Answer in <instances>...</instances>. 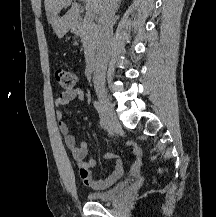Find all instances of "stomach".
Wrapping results in <instances>:
<instances>
[{
	"label": "stomach",
	"instance_id": "stomach-1",
	"mask_svg": "<svg viewBox=\"0 0 216 217\" xmlns=\"http://www.w3.org/2000/svg\"><path fill=\"white\" fill-rule=\"evenodd\" d=\"M75 31H76V28H75V27H73V28H72V32H75Z\"/></svg>",
	"mask_w": 216,
	"mask_h": 217
}]
</instances>
